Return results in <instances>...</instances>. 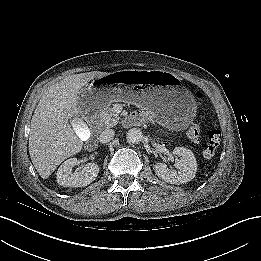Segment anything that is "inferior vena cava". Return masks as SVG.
I'll return each instance as SVG.
<instances>
[{
    "mask_svg": "<svg viewBox=\"0 0 261 261\" xmlns=\"http://www.w3.org/2000/svg\"><path fill=\"white\" fill-rule=\"evenodd\" d=\"M114 135H115V132L113 129H106L101 132V134L99 136V141L101 143H107L113 139Z\"/></svg>",
    "mask_w": 261,
    "mask_h": 261,
    "instance_id": "obj_1",
    "label": "inferior vena cava"
}]
</instances>
